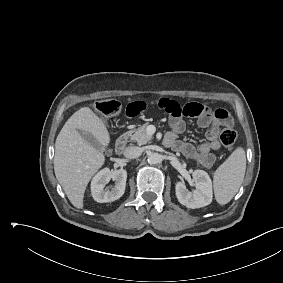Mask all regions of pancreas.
Here are the masks:
<instances>
[{"mask_svg": "<svg viewBox=\"0 0 283 283\" xmlns=\"http://www.w3.org/2000/svg\"><path fill=\"white\" fill-rule=\"evenodd\" d=\"M148 123L143 124L139 128L129 131L130 140L136 142L138 145H144L150 141L151 135L147 133Z\"/></svg>", "mask_w": 283, "mask_h": 283, "instance_id": "pancreas-1", "label": "pancreas"}]
</instances>
